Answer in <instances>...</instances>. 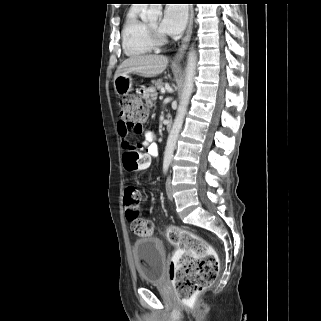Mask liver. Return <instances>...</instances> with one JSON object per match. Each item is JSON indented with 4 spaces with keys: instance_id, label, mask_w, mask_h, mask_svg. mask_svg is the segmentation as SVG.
<instances>
[{
    "instance_id": "liver-1",
    "label": "liver",
    "mask_w": 321,
    "mask_h": 321,
    "mask_svg": "<svg viewBox=\"0 0 321 321\" xmlns=\"http://www.w3.org/2000/svg\"><path fill=\"white\" fill-rule=\"evenodd\" d=\"M168 65V58L163 55H138L124 60L118 67L115 78L136 73L143 77H155L163 73Z\"/></svg>"
}]
</instances>
